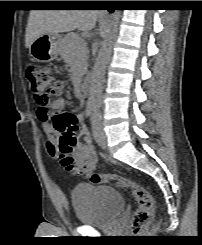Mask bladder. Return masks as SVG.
I'll return each mask as SVG.
<instances>
[{
    "mask_svg": "<svg viewBox=\"0 0 202 245\" xmlns=\"http://www.w3.org/2000/svg\"><path fill=\"white\" fill-rule=\"evenodd\" d=\"M123 195L108 186L78 184L72 192V205L82 225L108 224L124 208Z\"/></svg>",
    "mask_w": 202,
    "mask_h": 245,
    "instance_id": "bladder-1",
    "label": "bladder"
}]
</instances>
